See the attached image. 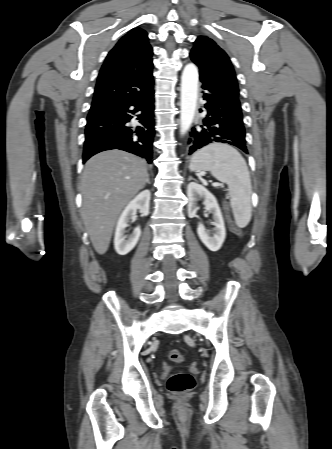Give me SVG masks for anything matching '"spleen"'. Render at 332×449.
<instances>
[{
  "instance_id": "1",
  "label": "spleen",
  "mask_w": 332,
  "mask_h": 449,
  "mask_svg": "<svg viewBox=\"0 0 332 449\" xmlns=\"http://www.w3.org/2000/svg\"><path fill=\"white\" fill-rule=\"evenodd\" d=\"M191 171H210L228 185L230 206L238 227H246L252 217V186L247 164L241 154L227 144L213 143L198 150L191 158Z\"/></svg>"
}]
</instances>
